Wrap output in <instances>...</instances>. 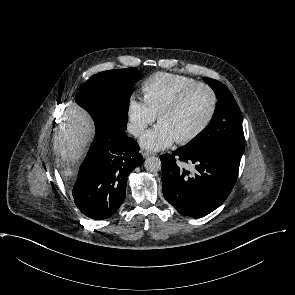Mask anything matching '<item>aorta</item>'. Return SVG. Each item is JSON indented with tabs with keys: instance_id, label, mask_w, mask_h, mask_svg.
Masks as SVG:
<instances>
[{
	"instance_id": "aorta-1",
	"label": "aorta",
	"mask_w": 295,
	"mask_h": 295,
	"mask_svg": "<svg viewBox=\"0 0 295 295\" xmlns=\"http://www.w3.org/2000/svg\"><path fill=\"white\" fill-rule=\"evenodd\" d=\"M161 160L158 157H148L144 162V167L148 172L154 173L161 170Z\"/></svg>"
}]
</instances>
